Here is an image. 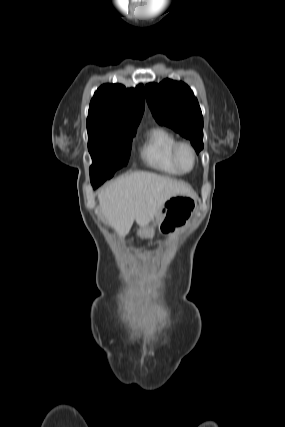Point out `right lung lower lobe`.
<instances>
[{
    "label": "right lung lower lobe",
    "instance_id": "right-lung-lower-lobe-1",
    "mask_svg": "<svg viewBox=\"0 0 285 427\" xmlns=\"http://www.w3.org/2000/svg\"><path fill=\"white\" fill-rule=\"evenodd\" d=\"M101 183H92L93 187L96 188L100 185Z\"/></svg>",
    "mask_w": 285,
    "mask_h": 427
}]
</instances>
